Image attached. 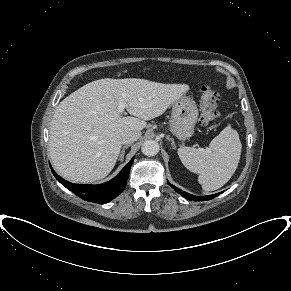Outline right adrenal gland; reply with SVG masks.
I'll return each instance as SVG.
<instances>
[{
    "label": "right adrenal gland",
    "mask_w": 291,
    "mask_h": 291,
    "mask_svg": "<svg viewBox=\"0 0 291 291\" xmlns=\"http://www.w3.org/2000/svg\"><path fill=\"white\" fill-rule=\"evenodd\" d=\"M130 145H125L123 146L122 150H121V154L119 156V160H123L124 155H125V149H127Z\"/></svg>",
    "instance_id": "2a0ac1e0"
}]
</instances>
